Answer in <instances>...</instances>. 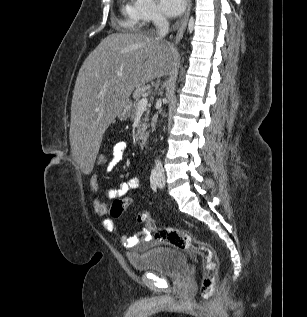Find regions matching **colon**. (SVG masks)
<instances>
[{
  "instance_id": "obj_1",
  "label": "colon",
  "mask_w": 307,
  "mask_h": 317,
  "mask_svg": "<svg viewBox=\"0 0 307 317\" xmlns=\"http://www.w3.org/2000/svg\"><path fill=\"white\" fill-rule=\"evenodd\" d=\"M96 165L104 167L108 163L106 154L99 153ZM131 198L115 199L111 205L110 214L113 218H119L124 210L131 205ZM137 221L144 224L147 231L153 234L156 241L170 245L180 250H192L200 253L204 259V277L201 285V294L208 295L217 275L218 262L213 248L205 243L195 241L189 232L175 227H159L151 219L148 212L141 210L137 213Z\"/></svg>"
}]
</instances>
